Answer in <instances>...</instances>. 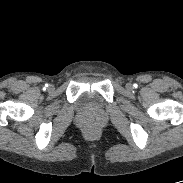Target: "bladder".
Here are the masks:
<instances>
[{"instance_id":"1","label":"bladder","mask_w":183,"mask_h":183,"mask_svg":"<svg viewBox=\"0 0 183 183\" xmlns=\"http://www.w3.org/2000/svg\"><path fill=\"white\" fill-rule=\"evenodd\" d=\"M82 81L92 86L93 83L97 82V79L89 76H83ZM99 102L100 97L92 88H86L78 98V103L81 107L98 106Z\"/></svg>"}]
</instances>
